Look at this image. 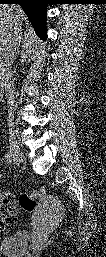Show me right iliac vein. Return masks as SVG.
I'll use <instances>...</instances> for the list:
<instances>
[{
    "instance_id": "1",
    "label": "right iliac vein",
    "mask_w": 106,
    "mask_h": 257,
    "mask_svg": "<svg viewBox=\"0 0 106 257\" xmlns=\"http://www.w3.org/2000/svg\"><path fill=\"white\" fill-rule=\"evenodd\" d=\"M10 152L14 162L17 165H20L23 162V155L15 137L13 136L10 137Z\"/></svg>"
}]
</instances>
